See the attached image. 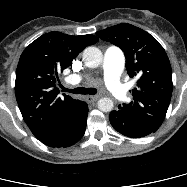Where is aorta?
Returning <instances> with one entry per match:
<instances>
[{"label":"aorta","mask_w":187,"mask_h":187,"mask_svg":"<svg viewBox=\"0 0 187 187\" xmlns=\"http://www.w3.org/2000/svg\"><path fill=\"white\" fill-rule=\"evenodd\" d=\"M84 64L89 68H96L102 63V52L97 47L89 46L82 54ZM114 107L112 99L104 97L99 99L98 108L102 112H110Z\"/></svg>","instance_id":"762f6f07"}]
</instances>
